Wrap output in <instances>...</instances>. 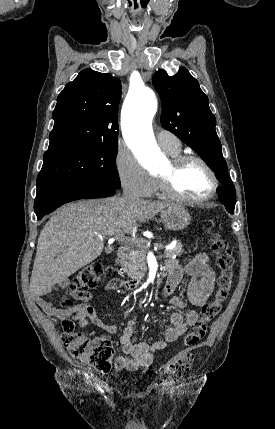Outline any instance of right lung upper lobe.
Returning a JSON list of instances; mask_svg holds the SVG:
<instances>
[{
  "label": "right lung upper lobe",
  "instance_id": "1",
  "mask_svg": "<svg viewBox=\"0 0 275 429\" xmlns=\"http://www.w3.org/2000/svg\"><path fill=\"white\" fill-rule=\"evenodd\" d=\"M120 97L118 78L92 69L81 71L57 98L48 151L68 145L118 142Z\"/></svg>",
  "mask_w": 275,
  "mask_h": 429
}]
</instances>
